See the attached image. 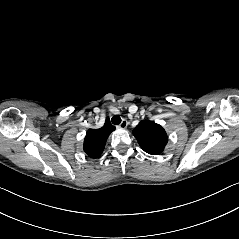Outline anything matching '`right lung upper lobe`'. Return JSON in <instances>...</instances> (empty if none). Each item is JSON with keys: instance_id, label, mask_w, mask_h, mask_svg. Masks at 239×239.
<instances>
[{"instance_id": "right-lung-upper-lobe-1", "label": "right lung upper lobe", "mask_w": 239, "mask_h": 239, "mask_svg": "<svg viewBox=\"0 0 239 239\" xmlns=\"http://www.w3.org/2000/svg\"><path fill=\"white\" fill-rule=\"evenodd\" d=\"M115 127L106 118L104 126L99 129H89L84 139V152L91 158L99 157L105 147L106 141Z\"/></svg>"}]
</instances>
